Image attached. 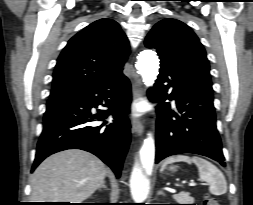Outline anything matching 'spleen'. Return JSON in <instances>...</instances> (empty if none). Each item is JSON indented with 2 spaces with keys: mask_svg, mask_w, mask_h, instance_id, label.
<instances>
[{
  "mask_svg": "<svg viewBox=\"0 0 253 205\" xmlns=\"http://www.w3.org/2000/svg\"><path fill=\"white\" fill-rule=\"evenodd\" d=\"M181 161L188 164L194 163L198 167L200 179L208 183L209 191L212 194L222 195L227 192V182L223 173L214 164L198 156H171L163 163L161 171L165 169L167 164Z\"/></svg>",
  "mask_w": 253,
  "mask_h": 205,
  "instance_id": "3e777b00",
  "label": "spleen"
}]
</instances>
